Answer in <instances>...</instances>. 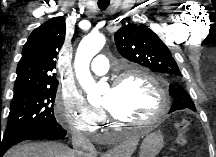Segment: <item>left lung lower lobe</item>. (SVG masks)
Returning a JSON list of instances; mask_svg holds the SVG:
<instances>
[{
	"instance_id": "0a47b994",
	"label": "left lung lower lobe",
	"mask_w": 216,
	"mask_h": 157,
	"mask_svg": "<svg viewBox=\"0 0 216 157\" xmlns=\"http://www.w3.org/2000/svg\"><path fill=\"white\" fill-rule=\"evenodd\" d=\"M185 105L182 103H173L172 104V107L170 109V112H173V111H176V110H181V109H185Z\"/></svg>"
}]
</instances>
